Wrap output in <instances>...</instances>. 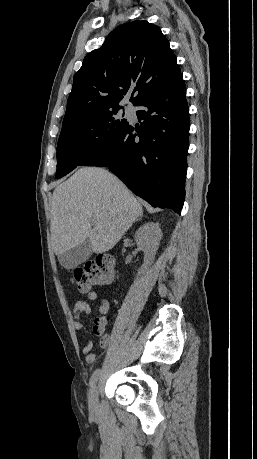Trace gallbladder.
<instances>
[{
  "mask_svg": "<svg viewBox=\"0 0 257 459\" xmlns=\"http://www.w3.org/2000/svg\"><path fill=\"white\" fill-rule=\"evenodd\" d=\"M92 245L89 240L67 250L58 256L59 263L67 270L74 269L92 255Z\"/></svg>",
  "mask_w": 257,
  "mask_h": 459,
  "instance_id": "obj_1",
  "label": "gallbladder"
}]
</instances>
